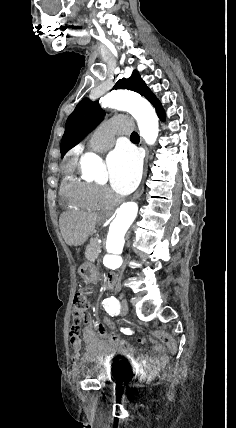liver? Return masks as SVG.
<instances>
[{"mask_svg": "<svg viewBox=\"0 0 236 428\" xmlns=\"http://www.w3.org/2000/svg\"><path fill=\"white\" fill-rule=\"evenodd\" d=\"M98 220V214L86 212H63L60 216V232L68 246H81L92 234Z\"/></svg>", "mask_w": 236, "mask_h": 428, "instance_id": "6515ba94", "label": "liver"}]
</instances>
